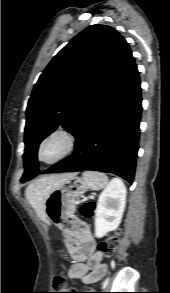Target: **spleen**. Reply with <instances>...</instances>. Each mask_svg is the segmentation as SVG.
I'll return each instance as SVG.
<instances>
[{"mask_svg":"<svg viewBox=\"0 0 170 293\" xmlns=\"http://www.w3.org/2000/svg\"><path fill=\"white\" fill-rule=\"evenodd\" d=\"M82 179L84 184L91 190H100L108 184L107 176L96 171H85L82 175Z\"/></svg>","mask_w":170,"mask_h":293,"instance_id":"1","label":"spleen"}]
</instances>
